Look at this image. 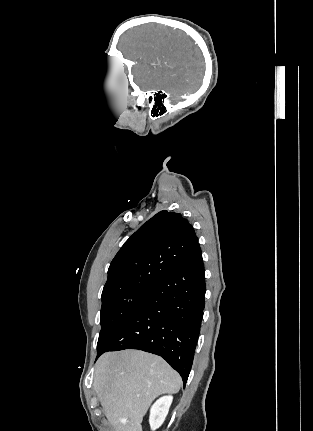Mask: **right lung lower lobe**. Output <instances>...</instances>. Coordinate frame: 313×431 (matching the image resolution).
Wrapping results in <instances>:
<instances>
[{
    "label": "right lung lower lobe",
    "mask_w": 313,
    "mask_h": 431,
    "mask_svg": "<svg viewBox=\"0 0 313 431\" xmlns=\"http://www.w3.org/2000/svg\"><path fill=\"white\" fill-rule=\"evenodd\" d=\"M205 271L199 244L127 317L97 351L140 349L164 358L185 386L205 306Z\"/></svg>",
    "instance_id": "1"
}]
</instances>
